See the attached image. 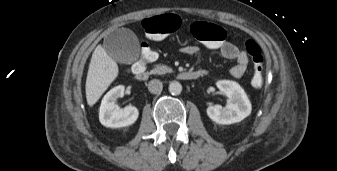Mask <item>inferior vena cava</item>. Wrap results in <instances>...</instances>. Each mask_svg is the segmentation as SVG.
<instances>
[{"mask_svg": "<svg viewBox=\"0 0 337 171\" xmlns=\"http://www.w3.org/2000/svg\"><path fill=\"white\" fill-rule=\"evenodd\" d=\"M162 89L163 84L160 80L153 79L148 84V90L150 91V93L158 94L162 91Z\"/></svg>", "mask_w": 337, "mask_h": 171, "instance_id": "inferior-vena-cava-1", "label": "inferior vena cava"}]
</instances>
